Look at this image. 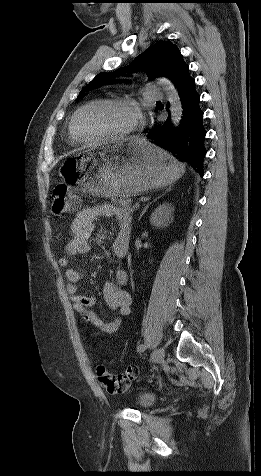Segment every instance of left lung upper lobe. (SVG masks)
Instances as JSON below:
<instances>
[{"instance_id": "left-lung-upper-lobe-1", "label": "left lung upper lobe", "mask_w": 261, "mask_h": 476, "mask_svg": "<svg viewBox=\"0 0 261 476\" xmlns=\"http://www.w3.org/2000/svg\"><path fill=\"white\" fill-rule=\"evenodd\" d=\"M188 67L182 59L178 48L170 41H159L140 54L134 61L123 68L114 72H101L87 84L78 95V99L85 96V92L93 90L103 84L119 81L118 78L127 73L144 70L148 76H166L174 84L179 75Z\"/></svg>"}]
</instances>
